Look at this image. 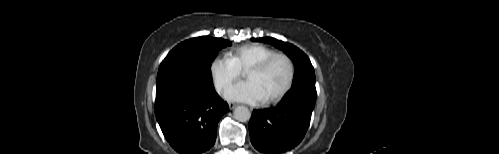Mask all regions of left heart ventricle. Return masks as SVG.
Here are the masks:
<instances>
[{"instance_id": "1", "label": "left heart ventricle", "mask_w": 499, "mask_h": 154, "mask_svg": "<svg viewBox=\"0 0 499 154\" xmlns=\"http://www.w3.org/2000/svg\"><path fill=\"white\" fill-rule=\"evenodd\" d=\"M245 76L248 81L255 82L265 99H268L284 87L288 76V67L283 59H276L264 71H249Z\"/></svg>"}]
</instances>
